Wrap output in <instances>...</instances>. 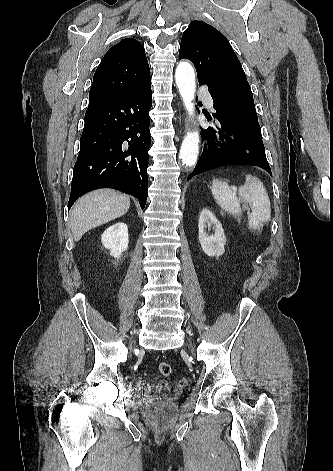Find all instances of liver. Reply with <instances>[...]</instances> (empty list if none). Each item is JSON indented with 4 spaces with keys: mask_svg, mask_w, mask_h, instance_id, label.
I'll use <instances>...</instances> for the list:
<instances>
[{
    "mask_svg": "<svg viewBox=\"0 0 333 471\" xmlns=\"http://www.w3.org/2000/svg\"><path fill=\"white\" fill-rule=\"evenodd\" d=\"M130 207L129 196L112 189L82 196L71 213L70 228L78 242L89 230L123 216Z\"/></svg>",
    "mask_w": 333,
    "mask_h": 471,
    "instance_id": "liver-1",
    "label": "liver"
}]
</instances>
